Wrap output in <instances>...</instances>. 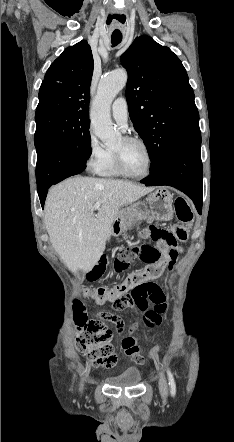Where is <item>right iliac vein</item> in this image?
I'll use <instances>...</instances> for the list:
<instances>
[{"instance_id": "right-iliac-vein-1", "label": "right iliac vein", "mask_w": 234, "mask_h": 442, "mask_svg": "<svg viewBox=\"0 0 234 442\" xmlns=\"http://www.w3.org/2000/svg\"><path fill=\"white\" fill-rule=\"evenodd\" d=\"M83 386H84V380H82L81 383H80V390L83 389Z\"/></svg>"}]
</instances>
